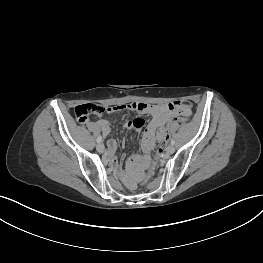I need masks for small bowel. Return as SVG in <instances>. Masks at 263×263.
I'll return each mask as SVG.
<instances>
[{"instance_id":"small-bowel-1","label":"small bowel","mask_w":263,"mask_h":263,"mask_svg":"<svg viewBox=\"0 0 263 263\" xmlns=\"http://www.w3.org/2000/svg\"><path fill=\"white\" fill-rule=\"evenodd\" d=\"M132 110L141 115H148L151 118L143 136L142 146L145 153H149L155 142H162L165 139V129L164 126L173 117L181 118L182 116H189L192 113V107L189 104L180 103L168 104V105H152L143 102H131L125 105H118L107 108V112L113 113L121 110ZM86 122V121H85ZM96 126L100 130L102 136H107L111 131L110 123L105 119H100L96 121ZM145 122L142 118H134L127 120L124 126L133 129L141 130ZM118 147V143L114 139H110L107 142V155L112 156ZM140 161V157H134L132 159V164L135 165Z\"/></svg>"}]
</instances>
